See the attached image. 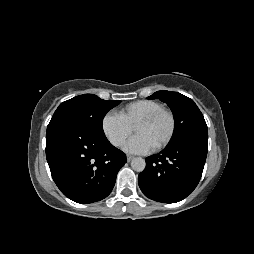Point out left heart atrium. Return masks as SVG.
Returning a JSON list of instances; mask_svg holds the SVG:
<instances>
[{
	"label": "left heart atrium",
	"instance_id": "left-heart-atrium-1",
	"mask_svg": "<svg viewBox=\"0 0 254 254\" xmlns=\"http://www.w3.org/2000/svg\"><path fill=\"white\" fill-rule=\"evenodd\" d=\"M152 149V144L141 134H136L124 144V150L132 154H142L149 152Z\"/></svg>",
	"mask_w": 254,
	"mask_h": 254
}]
</instances>
